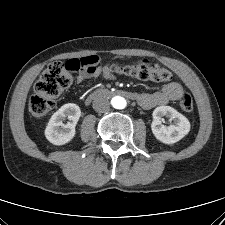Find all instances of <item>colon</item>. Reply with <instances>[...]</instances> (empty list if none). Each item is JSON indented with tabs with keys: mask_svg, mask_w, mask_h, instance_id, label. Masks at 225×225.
<instances>
[{
	"mask_svg": "<svg viewBox=\"0 0 225 225\" xmlns=\"http://www.w3.org/2000/svg\"><path fill=\"white\" fill-rule=\"evenodd\" d=\"M98 62L99 58L94 55L67 62H51L34 85V93L29 100L31 114L37 118L46 115L53 108L55 98L72 84L73 73L83 70L90 71L96 67ZM107 67L111 72L144 80L160 82L172 80V74L168 69L149 62L137 64L112 63ZM179 104L185 112L193 110V100L186 92L181 93Z\"/></svg>",
	"mask_w": 225,
	"mask_h": 225,
	"instance_id": "colon-1",
	"label": "colon"
}]
</instances>
